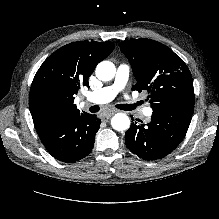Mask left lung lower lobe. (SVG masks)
<instances>
[{"label":"left lung lower lobe","mask_w":219,"mask_h":219,"mask_svg":"<svg viewBox=\"0 0 219 219\" xmlns=\"http://www.w3.org/2000/svg\"><path fill=\"white\" fill-rule=\"evenodd\" d=\"M193 109L180 112H153L148 124H131L126 132L127 148L145 160L170 154L184 138Z\"/></svg>","instance_id":"left-lung-lower-lobe-1"}]
</instances>
